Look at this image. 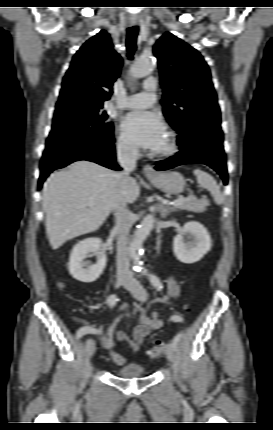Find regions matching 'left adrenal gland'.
<instances>
[{
	"instance_id": "a2214340",
	"label": "left adrenal gland",
	"mask_w": 273,
	"mask_h": 430,
	"mask_svg": "<svg viewBox=\"0 0 273 430\" xmlns=\"http://www.w3.org/2000/svg\"><path fill=\"white\" fill-rule=\"evenodd\" d=\"M159 210L162 218H166V216L172 211L171 209L166 208L163 204H160Z\"/></svg>"
}]
</instances>
